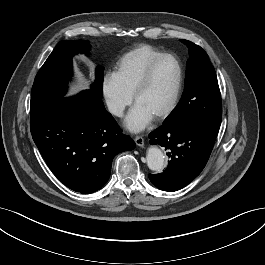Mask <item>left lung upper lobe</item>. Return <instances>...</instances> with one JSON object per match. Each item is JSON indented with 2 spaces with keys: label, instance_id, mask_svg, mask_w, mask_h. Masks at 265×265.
Wrapping results in <instances>:
<instances>
[{
  "label": "left lung upper lobe",
  "instance_id": "left-lung-upper-lobe-1",
  "mask_svg": "<svg viewBox=\"0 0 265 265\" xmlns=\"http://www.w3.org/2000/svg\"><path fill=\"white\" fill-rule=\"evenodd\" d=\"M181 42L188 46L190 57L185 90L163 125L192 124L216 139L222 119V102L215 70L200 46L187 40Z\"/></svg>",
  "mask_w": 265,
  "mask_h": 265
}]
</instances>
